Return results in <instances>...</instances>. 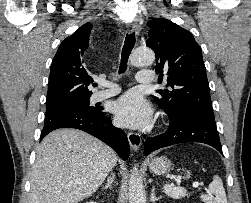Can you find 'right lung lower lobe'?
Masks as SVG:
<instances>
[{"instance_id": "1", "label": "right lung lower lobe", "mask_w": 251, "mask_h": 203, "mask_svg": "<svg viewBox=\"0 0 251 203\" xmlns=\"http://www.w3.org/2000/svg\"><path fill=\"white\" fill-rule=\"evenodd\" d=\"M59 128L83 130L109 145L123 160L129 156L130 147L125 132L114 127L111 118L107 117L106 113L101 112L100 109L97 112L68 109L46 115L41 139Z\"/></svg>"}]
</instances>
